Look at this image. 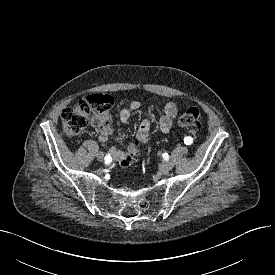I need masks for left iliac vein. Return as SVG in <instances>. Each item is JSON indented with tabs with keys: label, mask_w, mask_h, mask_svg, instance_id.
Segmentation results:
<instances>
[{
	"label": "left iliac vein",
	"mask_w": 275,
	"mask_h": 275,
	"mask_svg": "<svg viewBox=\"0 0 275 275\" xmlns=\"http://www.w3.org/2000/svg\"><path fill=\"white\" fill-rule=\"evenodd\" d=\"M173 168V163L171 161L163 162L160 165V171L164 174L168 173Z\"/></svg>",
	"instance_id": "1"
}]
</instances>
